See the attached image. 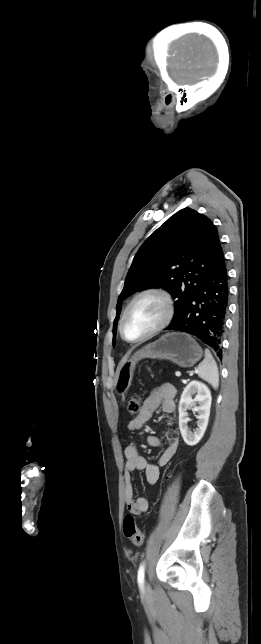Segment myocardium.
Wrapping results in <instances>:
<instances>
[{
    "label": "myocardium",
    "instance_id": "f54148a6",
    "mask_svg": "<svg viewBox=\"0 0 261 644\" xmlns=\"http://www.w3.org/2000/svg\"><path fill=\"white\" fill-rule=\"evenodd\" d=\"M146 296H157L158 298H160L162 300V302L164 304V308H165L164 316H163L162 320L160 321V323L155 328H153L151 331H149L147 334H145L144 336H142V337H140L138 339H134V340L128 339L126 337V335H125V322H126L128 313H129L130 309L132 308V306L139 299H141L143 297H146ZM174 315H175V303H174V299H173L171 293L168 290H166V289H164L162 287H148V288H145V289L141 290L140 292H138L136 295L133 296V298L129 301V303L127 304L126 308L123 311V314H122V317H121V320H120V324H119V330H120L121 337L128 343H132V344L142 343V342L152 338L156 334L160 333L166 327H168L169 324L172 322V320L174 318Z\"/></svg>",
    "mask_w": 261,
    "mask_h": 644
}]
</instances>
